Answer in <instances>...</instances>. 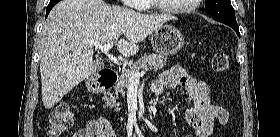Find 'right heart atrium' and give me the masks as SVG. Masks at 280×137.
Listing matches in <instances>:
<instances>
[{
	"mask_svg": "<svg viewBox=\"0 0 280 137\" xmlns=\"http://www.w3.org/2000/svg\"><path fill=\"white\" fill-rule=\"evenodd\" d=\"M140 2H142V0H130V3L136 5V8L138 7L137 4Z\"/></svg>",
	"mask_w": 280,
	"mask_h": 137,
	"instance_id": "d8ad5b80",
	"label": "right heart atrium"
}]
</instances>
